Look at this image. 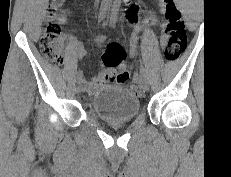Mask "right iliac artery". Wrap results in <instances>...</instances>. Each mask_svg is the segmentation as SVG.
<instances>
[{
  "mask_svg": "<svg viewBox=\"0 0 231 177\" xmlns=\"http://www.w3.org/2000/svg\"><path fill=\"white\" fill-rule=\"evenodd\" d=\"M106 11H107V4H103V5L101 6V9H100L99 21H102V20H103L105 14H106ZM113 11L116 12L117 9L114 8ZM82 77H83L82 71H78V72H77V76H76L77 81H78V82L82 81Z\"/></svg>",
  "mask_w": 231,
  "mask_h": 177,
  "instance_id": "82829eb1",
  "label": "right iliac artery"
}]
</instances>
